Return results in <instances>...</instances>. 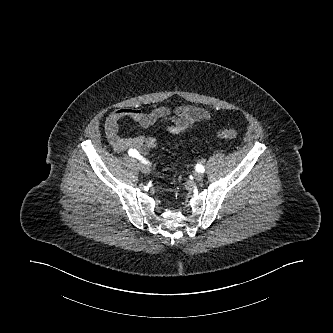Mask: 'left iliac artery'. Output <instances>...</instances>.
<instances>
[{
    "instance_id": "44dca946",
    "label": "left iliac artery",
    "mask_w": 333,
    "mask_h": 333,
    "mask_svg": "<svg viewBox=\"0 0 333 333\" xmlns=\"http://www.w3.org/2000/svg\"><path fill=\"white\" fill-rule=\"evenodd\" d=\"M196 170L199 173H203L205 171V168L201 164L196 165Z\"/></svg>"
}]
</instances>
